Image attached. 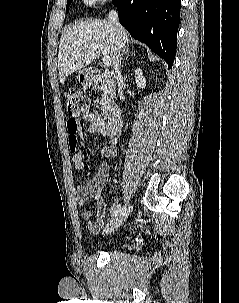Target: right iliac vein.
I'll use <instances>...</instances> for the list:
<instances>
[{"instance_id":"63e3f726","label":"right iliac vein","mask_w":239,"mask_h":303,"mask_svg":"<svg viewBox=\"0 0 239 303\" xmlns=\"http://www.w3.org/2000/svg\"><path fill=\"white\" fill-rule=\"evenodd\" d=\"M131 207L130 205H126L122 208V210L110 220V222L105 226L104 233L110 234L118 229L123 222L127 219L130 214Z\"/></svg>"}]
</instances>
